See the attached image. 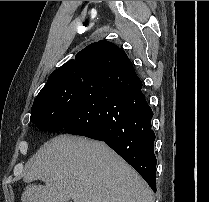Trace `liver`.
Here are the masks:
<instances>
[{"instance_id":"liver-1","label":"liver","mask_w":209,"mask_h":202,"mask_svg":"<svg viewBox=\"0 0 209 202\" xmlns=\"http://www.w3.org/2000/svg\"><path fill=\"white\" fill-rule=\"evenodd\" d=\"M41 180L45 185L31 182ZM22 202H151L146 183L107 145L72 135L46 142L26 164Z\"/></svg>"}]
</instances>
